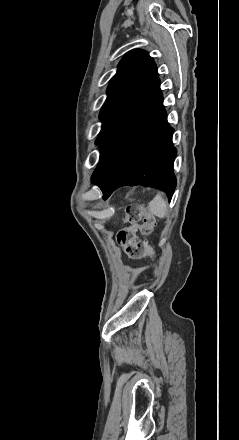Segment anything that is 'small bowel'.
I'll list each match as a JSON object with an SVG mask.
<instances>
[{"instance_id": "1", "label": "small bowel", "mask_w": 239, "mask_h": 440, "mask_svg": "<svg viewBox=\"0 0 239 440\" xmlns=\"http://www.w3.org/2000/svg\"><path fill=\"white\" fill-rule=\"evenodd\" d=\"M130 247H131L130 244H127V245H126V251H127L128 254H130V251H129V250H130Z\"/></svg>"}]
</instances>
